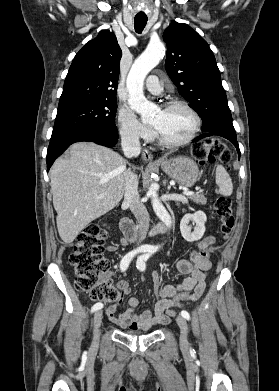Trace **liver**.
I'll use <instances>...</instances> for the list:
<instances>
[{
  "label": "liver",
  "mask_w": 279,
  "mask_h": 391,
  "mask_svg": "<svg viewBox=\"0 0 279 391\" xmlns=\"http://www.w3.org/2000/svg\"><path fill=\"white\" fill-rule=\"evenodd\" d=\"M51 167V192L61 239L72 243L92 221L115 208L124 190L126 161L104 146L78 142Z\"/></svg>",
  "instance_id": "obj_1"
}]
</instances>
